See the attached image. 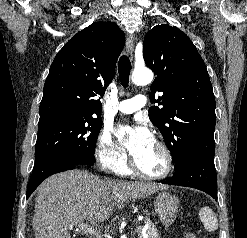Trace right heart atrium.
Instances as JSON below:
<instances>
[{"instance_id": "1", "label": "right heart atrium", "mask_w": 247, "mask_h": 238, "mask_svg": "<svg viewBox=\"0 0 247 238\" xmlns=\"http://www.w3.org/2000/svg\"><path fill=\"white\" fill-rule=\"evenodd\" d=\"M95 157L105 169L117 171L127 163V155L113 140L110 129L102 128L98 134Z\"/></svg>"}]
</instances>
